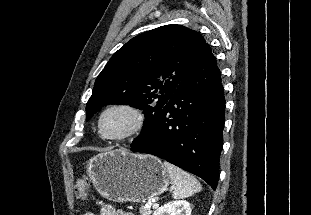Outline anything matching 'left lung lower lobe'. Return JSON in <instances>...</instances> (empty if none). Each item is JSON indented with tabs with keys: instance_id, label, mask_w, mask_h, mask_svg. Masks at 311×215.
Returning <instances> with one entry per match:
<instances>
[{
	"instance_id": "0a47b994",
	"label": "left lung lower lobe",
	"mask_w": 311,
	"mask_h": 215,
	"mask_svg": "<svg viewBox=\"0 0 311 215\" xmlns=\"http://www.w3.org/2000/svg\"><path fill=\"white\" fill-rule=\"evenodd\" d=\"M224 113L221 73L205 42L197 60L149 130L131 145V151L165 159L201 177L215 190Z\"/></svg>"
}]
</instances>
